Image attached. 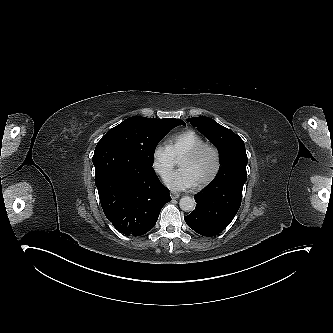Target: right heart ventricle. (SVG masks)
<instances>
[{"instance_id": "1", "label": "right heart ventricle", "mask_w": 333, "mask_h": 333, "mask_svg": "<svg viewBox=\"0 0 333 333\" xmlns=\"http://www.w3.org/2000/svg\"><path fill=\"white\" fill-rule=\"evenodd\" d=\"M204 143V140L196 132L187 130L175 136L168 148L176 160H181L189 151Z\"/></svg>"}]
</instances>
